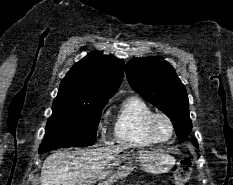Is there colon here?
<instances>
[{
	"label": "colon",
	"instance_id": "1",
	"mask_svg": "<svg viewBox=\"0 0 233 185\" xmlns=\"http://www.w3.org/2000/svg\"><path fill=\"white\" fill-rule=\"evenodd\" d=\"M192 173V163L188 158L182 159L177 163L174 171V184L186 185Z\"/></svg>",
	"mask_w": 233,
	"mask_h": 185
}]
</instances>
